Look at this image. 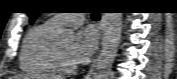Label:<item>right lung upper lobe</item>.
Masks as SVG:
<instances>
[{
	"label": "right lung upper lobe",
	"instance_id": "cb5924a9",
	"mask_svg": "<svg viewBox=\"0 0 177 79\" xmlns=\"http://www.w3.org/2000/svg\"><path fill=\"white\" fill-rule=\"evenodd\" d=\"M39 15H40V12H33L30 18V23H33Z\"/></svg>",
	"mask_w": 177,
	"mask_h": 79
}]
</instances>
